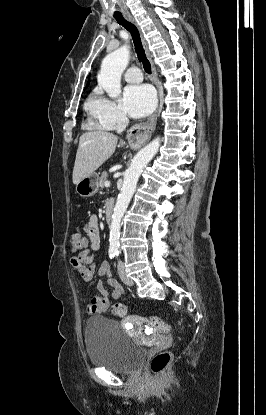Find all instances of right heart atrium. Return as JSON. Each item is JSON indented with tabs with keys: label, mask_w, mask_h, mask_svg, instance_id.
Listing matches in <instances>:
<instances>
[{
	"label": "right heart atrium",
	"mask_w": 266,
	"mask_h": 415,
	"mask_svg": "<svg viewBox=\"0 0 266 415\" xmlns=\"http://www.w3.org/2000/svg\"><path fill=\"white\" fill-rule=\"evenodd\" d=\"M87 110L94 123L103 129H113L127 121L122 108L99 90L89 99Z\"/></svg>",
	"instance_id": "d8ad5b80"
}]
</instances>
